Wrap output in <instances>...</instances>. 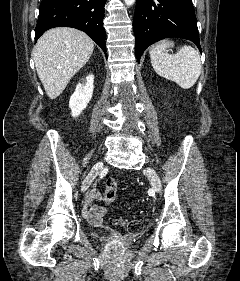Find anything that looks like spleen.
I'll return each mask as SVG.
<instances>
[{
    "label": "spleen",
    "instance_id": "3e777b00",
    "mask_svg": "<svg viewBox=\"0 0 240 281\" xmlns=\"http://www.w3.org/2000/svg\"><path fill=\"white\" fill-rule=\"evenodd\" d=\"M172 44L164 40L151 48V64L155 72L175 82L182 89H190L201 73L199 52L191 46H182L176 54H168Z\"/></svg>",
    "mask_w": 240,
    "mask_h": 281
}]
</instances>
